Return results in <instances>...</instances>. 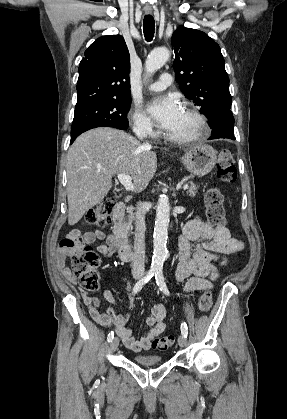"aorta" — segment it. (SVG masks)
<instances>
[{
    "label": "aorta",
    "mask_w": 287,
    "mask_h": 419,
    "mask_svg": "<svg viewBox=\"0 0 287 419\" xmlns=\"http://www.w3.org/2000/svg\"><path fill=\"white\" fill-rule=\"evenodd\" d=\"M167 48H157L151 51L145 61L147 75L155 73L169 58ZM170 219V203L166 195H161L156 208L155 227L153 235V256L151 271H161L169 253L166 247L168 238V226Z\"/></svg>",
    "instance_id": "1"
}]
</instances>
